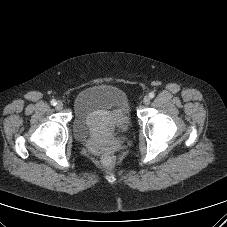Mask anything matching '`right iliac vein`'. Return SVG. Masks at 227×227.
Here are the masks:
<instances>
[{"label": "right iliac vein", "mask_w": 227, "mask_h": 227, "mask_svg": "<svg viewBox=\"0 0 227 227\" xmlns=\"http://www.w3.org/2000/svg\"><path fill=\"white\" fill-rule=\"evenodd\" d=\"M56 109L57 110H61L63 109V103L61 101H58L57 104H56Z\"/></svg>", "instance_id": "right-iliac-vein-1"}]
</instances>
